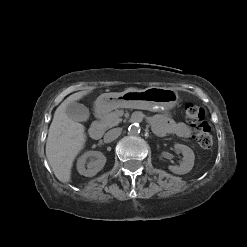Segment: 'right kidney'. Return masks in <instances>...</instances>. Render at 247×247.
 I'll return each instance as SVG.
<instances>
[{"instance_id": "obj_1", "label": "right kidney", "mask_w": 247, "mask_h": 247, "mask_svg": "<svg viewBox=\"0 0 247 247\" xmlns=\"http://www.w3.org/2000/svg\"><path fill=\"white\" fill-rule=\"evenodd\" d=\"M105 163L106 157L102 152L88 151L78 159L77 170L83 176L93 177L104 167ZM86 164L87 168L85 167Z\"/></svg>"}]
</instances>
